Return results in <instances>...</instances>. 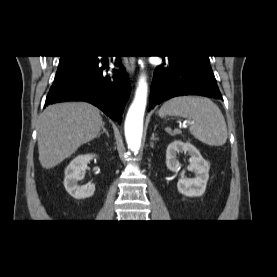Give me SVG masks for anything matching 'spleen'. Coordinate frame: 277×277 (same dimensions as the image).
<instances>
[{"label": "spleen", "instance_id": "3e777b00", "mask_svg": "<svg viewBox=\"0 0 277 277\" xmlns=\"http://www.w3.org/2000/svg\"><path fill=\"white\" fill-rule=\"evenodd\" d=\"M178 115L189 118L193 124L190 133L210 146H222L227 140V126L219 107L210 99L199 96H179L165 102L159 116Z\"/></svg>", "mask_w": 277, "mask_h": 277}]
</instances>
